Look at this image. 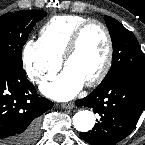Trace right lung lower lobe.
<instances>
[{
  "instance_id": "right-lung-lower-lobe-1",
  "label": "right lung lower lobe",
  "mask_w": 145,
  "mask_h": 145,
  "mask_svg": "<svg viewBox=\"0 0 145 145\" xmlns=\"http://www.w3.org/2000/svg\"><path fill=\"white\" fill-rule=\"evenodd\" d=\"M51 107L37 95L23 65H0V145H34L38 117Z\"/></svg>"
}]
</instances>
